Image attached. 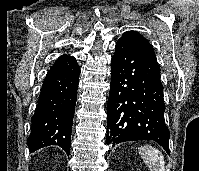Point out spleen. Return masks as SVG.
<instances>
[{
    "label": "spleen",
    "instance_id": "3e777b00",
    "mask_svg": "<svg viewBox=\"0 0 199 171\" xmlns=\"http://www.w3.org/2000/svg\"><path fill=\"white\" fill-rule=\"evenodd\" d=\"M139 154L150 171H165V161L163 154L152 146L139 148Z\"/></svg>",
    "mask_w": 199,
    "mask_h": 171
}]
</instances>
